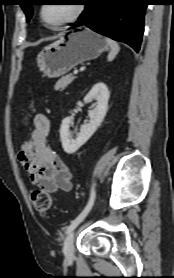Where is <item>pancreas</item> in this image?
Returning a JSON list of instances; mask_svg holds the SVG:
<instances>
[{
	"label": "pancreas",
	"instance_id": "1",
	"mask_svg": "<svg viewBox=\"0 0 174 278\" xmlns=\"http://www.w3.org/2000/svg\"><path fill=\"white\" fill-rule=\"evenodd\" d=\"M74 78L75 77L72 74L60 78L55 84V90L63 91L74 80Z\"/></svg>",
	"mask_w": 174,
	"mask_h": 278
}]
</instances>
